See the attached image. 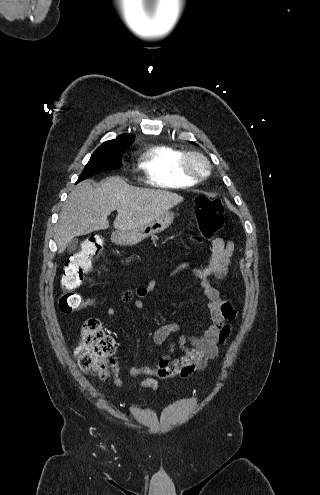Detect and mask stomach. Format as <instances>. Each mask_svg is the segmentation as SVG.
I'll use <instances>...</instances> for the list:
<instances>
[{
	"mask_svg": "<svg viewBox=\"0 0 320 495\" xmlns=\"http://www.w3.org/2000/svg\"><path fill=\"white\" fill-rule=\"evenodd\" d=\"M174 220V213L166 211L161 216L141 227L112 233L111 240L120 246H133L152 235L168 228Z\"/></svg>",
	"mask_w": 320,
	"mask_h": 495,
	"instance_id": "0dacf381",
	"label": "stomach"
}]
</instances>
